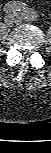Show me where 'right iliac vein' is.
Segmentation results:
<instances>
[{"instance_id": "1", "label": "right iliac vein", "mask_w": 51, "mask_h": 153, "mask_svg": "<svg viewBox=\"0 0 51 153\" xmlns=\"http://www.w3.org/2000/svg\"><path fill=\"white\" fill-rule=\"evenodd\" d=\"M15 20H16L15 16L12 14H9L5 17L4 22L7 26H12L15 23Z\"/></svg>"}]
</instances>
